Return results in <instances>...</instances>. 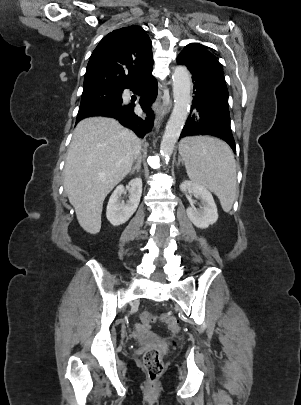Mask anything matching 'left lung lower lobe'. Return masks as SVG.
Returning a JSON list of instances; mask_svg holds the SVG:
<instances>
[{"mask_svg":"<svg viewBox=\"0 0 301 405\" xmlns=\"http://www.w3.org/2000/svg\"><path fill=\"white\" fill-rule=\"evenodd\" d=\"M177 63L186 65L191 72L195 95L180 139L197 135L215 136L226 141L235 152L226 83L212 71L187 57L178 56Z\"/></svg>","mask_w":301,"mask_h":405,"instance_id":"0a47b994","label":"left lung lower lobe"}]
</instances>
